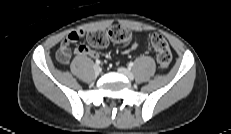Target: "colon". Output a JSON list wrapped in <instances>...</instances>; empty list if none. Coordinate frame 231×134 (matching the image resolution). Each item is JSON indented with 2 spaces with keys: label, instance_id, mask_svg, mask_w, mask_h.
Returning a JSON list of instances; mask_svg holds the SVG:
<instances>
[{
  "label": "colon",
  "instance_id": "5ec220e1",
  "mask_svg": "<svg viewBox=\"0 0 231 134\" xmlns=\"http://www.w3.org/2000/svg\"><path fill=\"white\" fill-rule=\"evenodd\" d=\"M151 44L156 51L157 62L162 69L168 68L172 60V53L165 38L160 34L151 35ZM88 41L93 47H104L109 41L120 45H127L131 41V33L123 26L115 25L108 30H94L89 32Z\"/></svg>",
  "mask_w": 231,
  "mask_h": 134
}]
</instances>
